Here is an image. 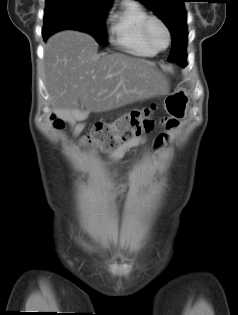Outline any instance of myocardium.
I'll return each instance as SVG.
<instances>
[{"instance_id":"myocardium-1","label":"myocardium","mask_w":238,"mask_h":315,"mask_svg":"<svg viewBox=\"0 0 238 315\" xmlns=\"http://www.w3.org/2000/svg\"><path fill=\"white\" fill-rule=\"evenodd\" d=\"M153 23H158L163 28V30L165 31V34L167 37V42H166V45L164 47L157 46L151 38L150 29H151V26ZM143 35H144V38L147 41V43L152 48H154L156 51H163V50L167 49L171 44V33L169 30V27L167 26L165 21L158 16H149L146 19V21L144 22V25H143Z\"/></svg>"}]
</instances>
